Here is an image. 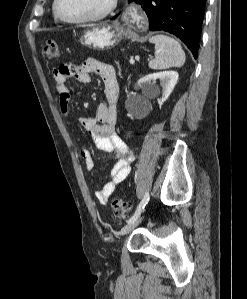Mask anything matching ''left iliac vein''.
<instances>
[{
	"mask_svg": "<svg viewBox=\"0 0 247 299\" xmlns=\"http://www.w3.org/2000/svg\"><path fill=\"white\" fill-rule=\"evenodd\" d=\"M142 217L137 218L135 221L129 222L127 223L120 231L121 235H125L128 234L129 232H131L136 226H138V224L142 221Z\"/></svg>",
	"mask_w": 247,
	"mask_h": 299,
	"instance_id": "left-iliac-vein-1",
	"label": "left iliac vein"
}]
</instances>
